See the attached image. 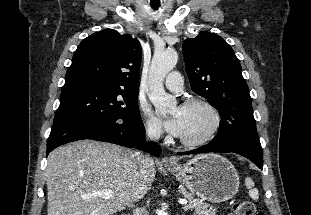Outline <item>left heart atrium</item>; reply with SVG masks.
Listing matches in <instances>:
<instances>
[{"label": "left heart atrium", "instance_id": "39dd6f15", "mask_svg": "<svg viewBox=\"0 0 311 215\" xmlns=\"http://www.w3.org/2000/svg\"><path fill=\"white\" fill-rule=\"evenodd\" d=\"M183 124V116L180 112H176L169 118L163 120L165 129L174 136H181Z\"/></svg>", "mask_w": 311, "mask_h": 215}]
</instances>
